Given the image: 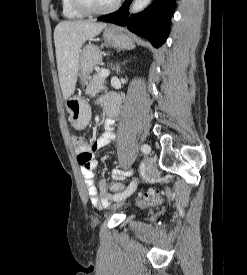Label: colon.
I'll use <instances>...</instances> for the list:
<instances>
[{"mask_svg":"<svg viewBox=\"0 0 247 275\" xmlns=\"http://www.w3.org/2000/svg\"><path fill=\"white\" fill-rule=\"evenodd\" d=\"M72 144L77 149L84 145V140L82 136L73 135L72 136ZM108 190L112 194L122 193L123 185L119 182H114L110 184ZM164 198V192L158 191L155 189H149L147 191H143L139 194L138 203L142 206H153L162 202Z\"/></svg>","mask_w":247,"mask_h":275,"instance_id":"obj_1","label":"colon"}]
</instances>
